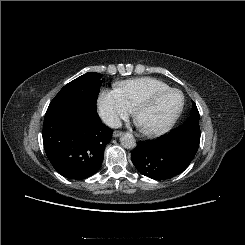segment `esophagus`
<instances>
[{
  "instance_id": "obj_1",
  "label": "esophagus",
  "mask_w": 245,
  "mask_h": 245,
  "mask_svg": "<svg viewBox=\"0 0 245 245\" xmlns=\"http://www.w3.org/2000/svg\"><path fill=\"white\" fill-rule=\"evenodd\" d=\"M122 134H123V132H121V131H117V130H116V131H114V132H113V137H115V138H116V137L121 136Z\"/></svg>"
}]
</instances>
